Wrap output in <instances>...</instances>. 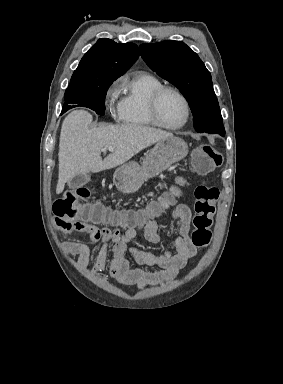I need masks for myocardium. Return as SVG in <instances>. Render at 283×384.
Listing matches in <instances>:
<instances>
[{
    "instance_id": "1",
    "label": "myocardium",
    "mask_w": 283,
    "mask_h": 384,
    "mask_svg": "<svg viewBox=\"0 0 283 384\" xmlns=\"http://www.w3.org/2000/svg\"><path fill=\"white\" fill-rule=\"evenodd\" d=\"M168 92H171V93L177 95L182 100L184 107H185V119H184V121L180 125L173 126V127L164 125L158 117L159 102H160L162 96ZM146 111H147V115H148L149 119L151 120V122L153 123L154 126L161 128L163 130H168V131H177V130L184 128L188 124V122L190 120V116H191L190 104H189L186 96L181 91H179L178 89H176L174 87H170V86H162L161 88H159L158 90H156L152 94V96L149 98V100L147 102Z\"/></svg>"
}]
</instances>
